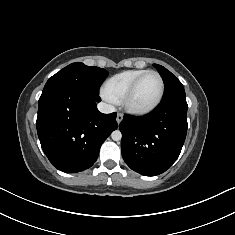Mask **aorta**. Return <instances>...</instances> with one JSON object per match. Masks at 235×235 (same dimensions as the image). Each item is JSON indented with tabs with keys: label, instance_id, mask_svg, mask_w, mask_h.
Here are the masks:
<instances>
[{
	"label": "aorta",
	"instance_id": "762f6f07",
	"mask_svg": "<svg viewBox=\"0 0 235 235\" xmlns=\"http://www.w3.org/2000/svg\"><path fill=\"white\" fill-rule=\"evenodd\" d=\"M111 138L114 140V141H119L121 140L122 138V134L119 130H115L112 132L111 134Z\"/></svg>",
	"mask_w": 235,
	"mask_h": 235
}]
</instances>
